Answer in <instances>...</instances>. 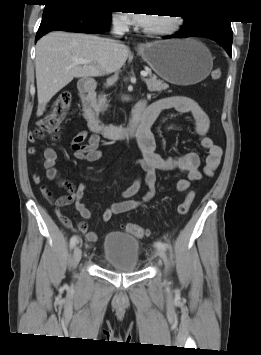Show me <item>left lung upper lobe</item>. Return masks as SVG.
<instances>
[{"mask_svg":"<svg viewBox=\"0 0 261 355\" xmlns=\"http://www.w3.org/2000/svg\"><path fill=\"white\" fill-rule=\"evenodd\" d=\"M207 18H188L185 17V27L186 28H197L203 21Z\"/></svg>","mask_w":261,"mask_h":355,"instance_id":"1","label":"left lung upper lobe"}]
</instances>
